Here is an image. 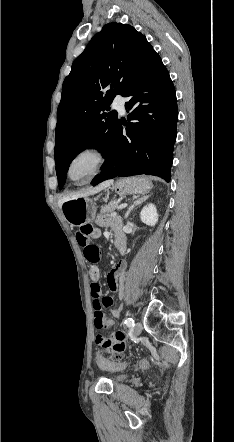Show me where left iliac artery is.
I'll return each mask as SVG.
<instances>
[{
  "mask_svg": "<svg viewBox=\"0 0 234 442\" xmlns=\"http://www.w3.org/2000/svg\"><path fill=\"white\" fill-rule=\"evenodd\" d=\"M125 325H126L127 327L134 326V320H133L132 318H127V319L125 320Z\"/></svg>",
  "mask_w": 234,
  "mask_h": 442,
  "instance_id": "obj_1",
  "label": "left iliac artery"
}]
</instances>
